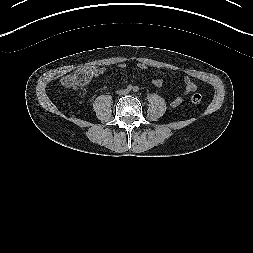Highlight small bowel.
<instances>
[{
  "instance_id": "small-bowel-1",
  "label": "small bowel",
  "mask_w": 253,
  "mask_h": 253,
  "mask_svg": "<svg viewBox=\"0 0 253 253\" xmlns=\"http://www.w3.org/2000/svg\"><path fill=\"white\" fill-rule=\"evenodd\" d=\"M145 66V65H144ZM91 74L97 76L98 75V70H94L91 72ZM195 88V85L194 83L191 81L190 77L189 76H186L185 77V90H184V93H188L189 91H191L192 89Z\"/></svg>"
}]
</instances>
